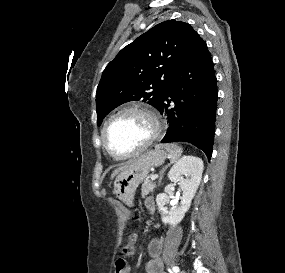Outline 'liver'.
<instances>
[{"instance_id": "1", "label": "liver", "mask_w": 285, "mask_h": 273, "mask_svg": "<svg viewBox=\"0 0 285 273\" xmlns=\"http://www.w3.org/2000/svg\"><path fill=\"white\" fill-rule=\"evenodd\" d=\"M130 163H132V162H128L126 164H123L119 168L115 169L111 174V179H113L119 172H121L124 168H126Z\"/></svg>"}]
</instances>
